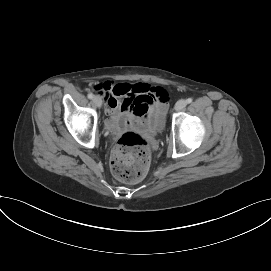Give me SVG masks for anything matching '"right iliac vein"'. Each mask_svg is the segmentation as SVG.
<instances>
[{"mask_svg":"<svg viewBox=\"0 0 271 271\" xmlns=\"http://www.w3.org/2000/svg\"><path fill=\"white\" fill-rule=\"evenodd\" d=\"M93 102L99 108L102 106V100H101V98L99 96H95L93 98Z\"/></svg>","mask_w":271,"mask_h":271,"instance_id":"right-iliac-vein-1","label":"right iliac vein"}]
</instances>
